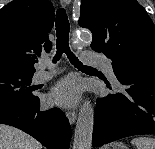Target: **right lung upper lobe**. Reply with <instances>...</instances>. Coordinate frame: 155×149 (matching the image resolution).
Here are the masks:
<instances>
[{
    "instance_id": "cb5924a9",
    "label": "right lung upper lobe",
    "mask_w": 155,
    "mask_h": 149,
    "mask_svg": "<svg viewBox=\"0 0 155 149\" xmlns=\"http://www.w3.org/2000/svg\"><path fill=\"white\" fill-rule=\"evenodd\" d=\"M54 8L48 0H14L0 10V67L35 72L36 55L50 51Z\"/></svg>"
}]
</instances>
